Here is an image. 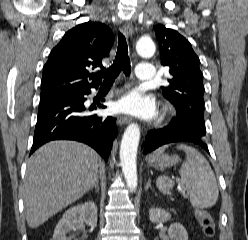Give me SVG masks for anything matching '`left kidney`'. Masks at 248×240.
<instances>
[{
  "instance_id": "left-kidney-1",
  "label": "left kidney",
  "mask_w": 248,
  "mask_h": 240,
  "mask_svg": "<svg viewBox=\"0 0 248 240\" xmlns=\"http://www.w3.org/2000/svg\"><path fill=\"white\" fill-rule=\"evenodd\" d=\"M171 218L170 213L160 208L149 209V219L153 223L166 222ZM170 240H188V234L180 223H173L168 229Z\"/></svg>"
}]
</instances>
